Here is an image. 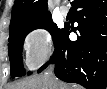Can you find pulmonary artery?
<instances>
[{
	"mask_svg": "<svg viewBox=\"0 0 107 89\" xmlns=\"http://www.w3.org/2000/svg\"><path fill=\"white\" fill-rule=\"evenodd\" d=\"M68 12H69V10H68V8L66 6H62L60 8V13L62 14V16H67Z\"/></svg>",
	"mask_w": 107,
	"mask_h": 89,
	"instance_id": "1",
	"label": "pulmonary artery"
}]
</instances>
